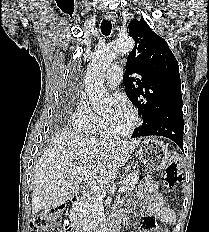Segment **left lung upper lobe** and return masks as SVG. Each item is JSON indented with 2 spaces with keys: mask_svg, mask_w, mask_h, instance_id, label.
Segmentation results:
<instances>
[{
  "mask_svg": "<svg viewBox=\"0 0 209 232\" xmlns=\"http://www.w3.org/2000/svg\"><path fill=\"white\" fill-rule=\"evenodd\" d=\"M129 34L135 46L127 57L123 83L144 125L162 111L182 108L179 66L167 42L143 19L130 22Z\"/></svg>",
  "mask_w": 209,
  "mask_h": 232,
  "instance_id": "5c2ea615",
  "label": "left lung upper lobe"
}]
</instances>
